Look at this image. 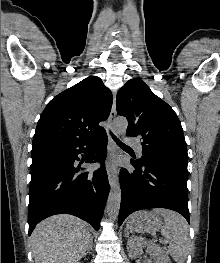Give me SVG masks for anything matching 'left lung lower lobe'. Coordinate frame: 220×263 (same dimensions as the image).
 Listing matches in <instances>:
<instances>
[{
    "mask_svg": "<svg viewBox=\"0 0 220 263\" xmlns=\"http://www.w3.org/2000/svg\"><path fill=\"white\" fill-rule=\"evenodd\" d=\"M135 170L120 172L119 225L131 213L147 208L174 210L189 222L188 173L158 161L131 160Z\"/></svg>",
    "mask_w": 220,
    "mask_h": 263,
    "instance_id": "0a47b994",
    "label": "left lung lower lobe"
}]
</instances>
